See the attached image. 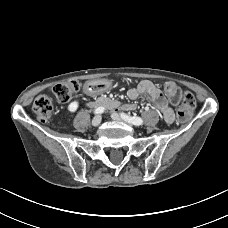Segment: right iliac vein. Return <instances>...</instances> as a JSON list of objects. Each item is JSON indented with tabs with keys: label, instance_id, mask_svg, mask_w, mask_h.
Here are the masks:
<instances>
[{
	"label": "right iliac vein",
	"instance_id": "1",
	"mask_svg": "<svg viewBox=\"0 0 228 228\" xmlns=\"http://www.w3.org/2000/svg\"><path fill=\"white\" fill-rule=\"evenodd\" d=\"M101 123V116L100 115H97L95 116L93 119H92V126H98L99 124Z\"/></svg>",
	"mask_w": 228,
	"mask_h": 228
}]
</instances>
